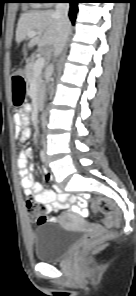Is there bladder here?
I'll return each instance as SVG.
<instances>
[{"label":"bladder","instance_id":"obj_1","mask_svg":"<svg viewBox=\"0 0 136 296\" xmlns=\"http://www.w3.org/2000/svg\"><path fill=\"white\" fill-rule=\"evenodd\" d=\"M80 231L67 229L61 224L44 223L32 232L34 256L41 262H55L76 244Z\"/></svg>","mask_w":136,"mask_h":296}]
</instances>
